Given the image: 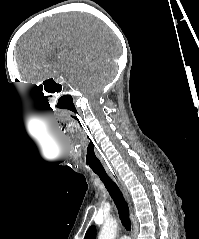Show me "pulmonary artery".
<instances>
[{"label": "pulmonary artery", "mask_w": 199, "mask_h": 239, "mask_svg": "<svg viewBox=\"0 0 199 239\" xmlns=\"http://www.w3.org/2000/svg\"><path fill=\"white\" fill-rule=\"evenodd\" d=\"M120 239H129L127 236H122Z\"/></svg>", "instance_id": "e3ab8cb5"}]
</instances>
